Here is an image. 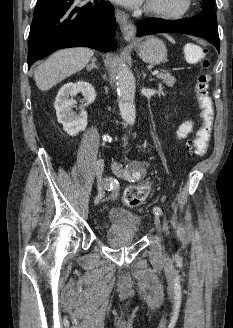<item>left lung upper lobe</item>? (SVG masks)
<instances>
[{
    "label": "left lung upper lobe",
    "instance_id": "obj_1",
    "mask_svg": "<svg viewBox=\"0 0 233 328\" xmlns=\"http://www.w3.org/2000/svg\"><path fill=\"white\" fill-rule=\"evenodd\" d=\"M203 7L202 13L207 16H215L214 9H213V0H202Z\"/></svg>",
    "mask_w": 233,
    "mask_h": 328
}]
</instances>
